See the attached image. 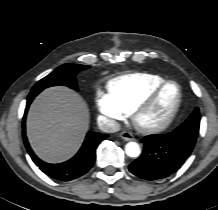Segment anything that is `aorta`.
Instances as JSON below:
<instances>
[{
    "label": "aorta",
    "mask_w": 218,
    "mask_h": 210,
    "mask_svg": "<svg viewBox=\"0 0 218 210\" xmlns=\"http://www.w3.org/2000/svg\"><path fill=\"white\" fill-rule=\"evenodd\" d=\"M125 152L127 156L136 158L141 153L140 146L136 142H129L125 145Z\"/></svg>",
    "instance_id": "aorta-1"
}]
</instances>
